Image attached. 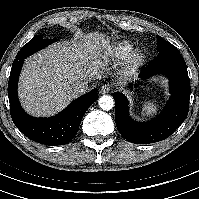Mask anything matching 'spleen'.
Wrapping results in <instances>:
<instances>
[{"label": "spleen", "mask_w": 199, "mask_h": 199, "mask_svg": "<svg viewBox=\"0 0 199 199\" xmlns=\"http://www.w3.org/2000/svg\"><path fill=\"white\" fill-rule=\"evenodd\" d=\"M157 106L154 104L153 101H145L144 104L142 105V113L145 114H151L156 112Z\"/></svg>", "instance_id": "obj_1"}]
</instances>
